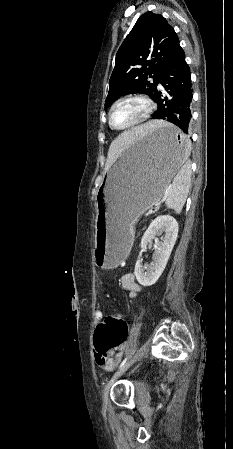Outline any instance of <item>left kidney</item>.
Listing matches in <instances>:
<instances>
[{"instance_id":"left-kidney-1","label":"left kidney","mask_w":233,"mask_h":449,"mask_svg":"<svg viewBox=\"0 0 233 449\" xmlns=\"http://www.w3.org/2000/svg\"><path fill=\"white\" fill-rule=\"evenodd\" d=\"M178 229V222L169 215L158 216L151 222L142 237L141 252L145 251L148 244L152 246V241L155 240L154 265L144 273L141 260H137L134 274L139 284L144 287L151 286L162 275L176 242ZM163 233L165 234L161 237V241H159L156 236H161Z\"/></svg>"}]
</instances>
